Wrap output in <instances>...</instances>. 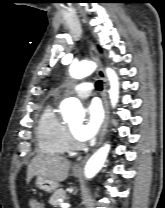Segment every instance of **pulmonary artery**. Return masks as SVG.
<instances>
[{
  "mask_svg": "<svg viewBox=\"0 0 165 208\" xmlns=\"http://www.w3.org/2000/svg\"><path fill=\"white\" fill-rule=\"evenodd\" d=\"M93 85L90 82L80 83L75 87V95L78 98H88L92 93Z\"/></svg>",
  "mask_w": 165,
  "mask_h": 208,
  "instance_id": "1",
  "label": "pulmonary artery"
}]
</instances>
